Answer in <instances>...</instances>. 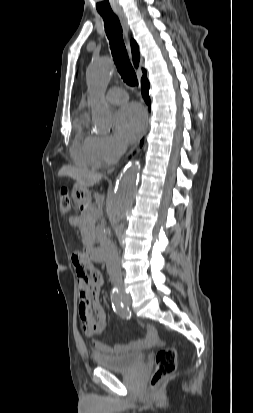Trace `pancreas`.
I'll return each instance as SVG.
<instances>
[{
  "label": "pancreas",
  "mask_w": 253,
  "mask_h": 413,
  "mask_svg": "<svg viewBox=\"0 0 253 413\" xmlns=\"http://www.w3.org/2000/svg\"><path fill=\"white\" fill-rule=\"evenodd\" d=\"M101 217L102 209L95 205L87 206L80 215L78 226L81 230L82 241L85 246L90 247L95 243L97 234L95 224Z\"/></svg>",
  "instance_id": "pancreas-1"
}]
</instances>
